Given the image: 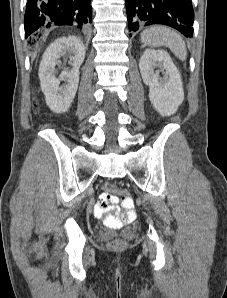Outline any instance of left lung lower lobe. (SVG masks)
I'll list each match as a JSON object with an SVG mask.
<instances>
[{
	"label": "left lung lower lobe",
	"instance_id": "0a47b994",
	"mask_svg": "<svg viewBox=\"0 0 227 298\" xmlns=\"http://www.w3.org/2000/svg\"><path fill=\"white\" fill-rule=\"evenodd\" d=\"M129 31L141 26L164 24L193 36L194 11L191 0H126ZM131 35V34H130Z\"/></svg>",
	"mask_w": 227,
	"mask_h": 298
}]
</instances>
